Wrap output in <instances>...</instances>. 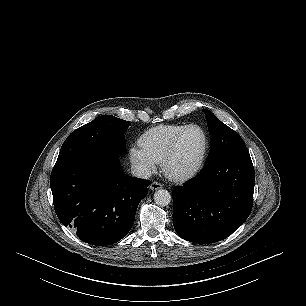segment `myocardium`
<instances>
[{
  "instance_id": "1",
  "label": "myocardium",
  "mask_w": 306,
  "mask_h": 306,
  "mask_svg": "<svg viewBox=\"0 0 306 306\" xmlns=\"http://www.w3.org/2000/svg\"><path fill=\"white\" fill-rule=\"evenodd\" d=\"M192 128H196L198 130L201 131V133L204 136V149L202 152V155L199 159V161L197 162V164L190 170L185 171V172H173L171 170V164L173 163V161L175 160L177 154H178V150H179V146L180 143L184 137V135L186 134V132ZM209 146H210V142H209V137L208 134L206 132V130L198 125V124H189L186 125L181 131L180 133L175 137L170 150L168 151L167 155L165 156V158L162 161V170L164 175L172 180V181H185V180H189L193 177H195L203 168L204 163L206 161L207 155H208V151H209Z\"/></svg>"
}]
</instances>
